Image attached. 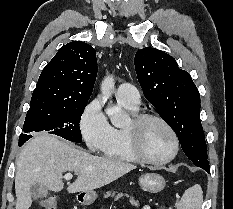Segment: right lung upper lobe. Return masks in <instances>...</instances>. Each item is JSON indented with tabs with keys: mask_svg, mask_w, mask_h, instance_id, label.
I'll return each mask as SVG.
<instances>
[{
	"mask_svg": "<svg viewBox=\"0 0 233 209\" xmlns=\"http://www.w3.org/2000/svg\"><path fill=\"white\" fill-rule=\"evenodd\" d=\"M97 69L91 45L82 41L64 45L42 70L30 107L67 108L87 103Z\"/></svg>",
	"mask_w": 233,
	"mask_h": 209,
	"instance_id": "cb5924a9",
	"label": "right lung upper lobe"
}]
</instances>
